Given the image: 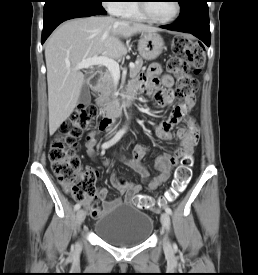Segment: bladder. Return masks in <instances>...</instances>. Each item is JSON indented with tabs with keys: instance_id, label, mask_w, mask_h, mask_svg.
I'll return each mask as SVG.
<instances>
[{
	"instance_id": "bladder-1",
	"label": "bladder",
	"mask_w": 258,
	"mask_h": 275,
	"mask_svg": "<svg viewBox=\"0 0 258 275\" xmlns=\"http://www.w3.org/2000/svg\"><path fill=\"white\" fill-rule=\"evenodd\" d=\"M154 228L152 217L130 203L105 213L93 226L96 236L119 247L145 243Z\"/></svg>"
}]
</instances>
